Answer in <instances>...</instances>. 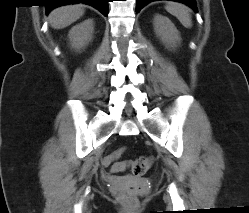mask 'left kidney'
<instances>
[{
  "label": "left kidney",
  "mask_w": 249,
  "mask_h": 213,
  "mask_svg": "<svg viewBox=\"0 0 249 213\" xmlns=\"http://www.w3.org/2000/svg\"><path fill=\"white\" fill-rule=\"evenodd\" d=\"M154 29L156 35L160 37L166 47L174 48L180 44V34L169 18L159 14L155 15Z\"/></svg>",
  "instance_id": "1"
}]
</instances>
